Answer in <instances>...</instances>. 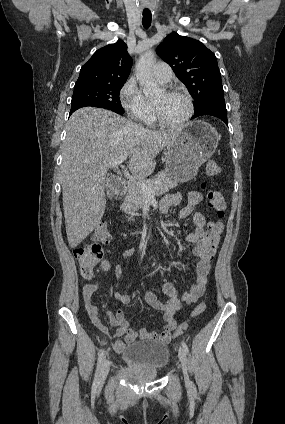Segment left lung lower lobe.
<instances>
[{
    "label": "left lung lower lobe",
    "mask_w": 285,
    "mask_h": 424,
    "mask_svg": "<svg viewBox=\"0 0 285 424\" xmlns=\"http://www.w3.org/2000/svg\"><path fill=\"white\" fill-rule=\"evenodd\" d=\"M203 115L215 116L228 125L224 96H215L206 100L195 109L192 119Z\"/></svg>",
    "instance_id": "left-lung-lower-lobe-1"
}]
</instances>
